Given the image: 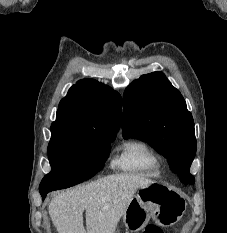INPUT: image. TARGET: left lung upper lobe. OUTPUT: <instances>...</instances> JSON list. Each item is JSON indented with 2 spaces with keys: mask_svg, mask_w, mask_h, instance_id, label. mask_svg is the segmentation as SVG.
<instances>
[{
  "mask_svg": "<svg viewBox=\"0 0 227 233\" xmlns=\"http://www.w3.org/2000/svg\"><path fill=\"white\" fill-rule=\"evenodd\" d=\"M124 138L134 136L165 156L184 184H194L190 166L196 154L194 121L181 93L162 72L142 75L123 96Z\"/></svg>",
  "mask_w": 227,
  "mask_h": 233,
  "instance_id": "1",
  "label": "left lung upper lobe"
}]
</instances>
